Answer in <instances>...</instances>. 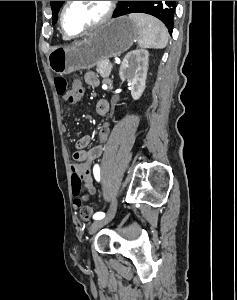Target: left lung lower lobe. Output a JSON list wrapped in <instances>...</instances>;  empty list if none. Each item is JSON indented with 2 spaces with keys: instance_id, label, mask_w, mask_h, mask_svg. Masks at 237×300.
I'll return each instance as SVG.
<instances>
[{
  "instance_id": "left-lung-lower-lobe-1",
  "label": "left lung lower lobe",
  "mask_w": 237,
  "mask_h": 300,
  "mask_svg": "<svg viewBox=\"0 0 237 300\" xmlns=\"http://www.w3.org/2000/svg\"><path fill=\"white\" fill-rule=\"evenodd\" d=\"M170 3V1H164V4H169ZM114 17V16H113Z\"/></svg>"
}]
</instances>
